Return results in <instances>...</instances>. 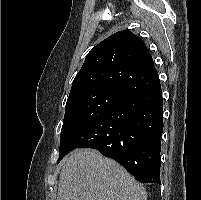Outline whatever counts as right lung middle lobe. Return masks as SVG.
Wrapping results in <instances>:
<instances>
[{
  "label": "right lung middle lobe",
  "instance_id": "obj_1",
  "mask_svg": "<svg viewBox=\"0 0 201 200\" xmlns=\"http://www.w3.org/2000/svg\"><path fill=\"white\" fill-rule=\"evenodd\" d=\"M129 97L109 90L81 92L68 97L59 148V162L67 153L66 145L80 131L109 111L123 104Z\"/></svg>",
  "mask_w": 201,
  "mask_h": 200
}]
</instances>
